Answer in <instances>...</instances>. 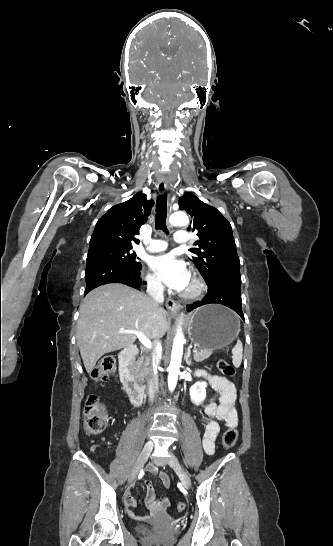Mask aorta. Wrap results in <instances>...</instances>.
Segmentation results:
<instances>
[{
  "instance_id": "obj_1",
  "label": "aorta",
  "mask_w": 333,
  "mask_h": 546,
  "mask_svg": "<svg viewBox=\"0 0 333 546\" xmlns=\"http://www.w3.org/2000/svg\"><path fill=\"white\" fill-rule=\"evenodd\" d=\"M169 223L173 226H188L189 218L185 212H176L170 216ZM184 343L185 338L180 329L174 339L171 361L168 367V388L170 391H173L177 385Z\"/></svg>"
}]
</instances>
